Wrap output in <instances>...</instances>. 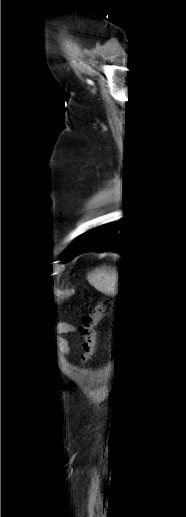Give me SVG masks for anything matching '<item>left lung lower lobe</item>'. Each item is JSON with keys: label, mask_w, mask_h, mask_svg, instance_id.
<instances>
[{"label": "left lung lower lobe", "mask_w": 186, "mask_h": 517, "mask_svg": "<svg viewBox=\"0 0 186 517\" xmlns=\"http://www.w3.org/2000/svg\"><path fill=\"white\" fill-rule=\"evenodd\" d=\"M97 250V251H115L124 255V246L121 239L115 235L114 227L102 226L93 229L92 235L89 240L76 251L73 257L83 253L86 250ZM72 257V258H73ZM71 258V259H72Z\"/></svg>", "instance_id": "obj_1"}]
</instances>
